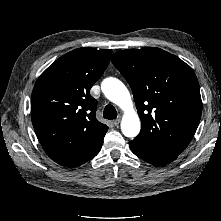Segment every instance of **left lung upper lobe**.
Wrapping results in <instances>:
<instances>
[{
	"instance_id": "1",
	"label": "left lung upper lobe",
	"mask_w": 221,
	"mask_h": 221,
	"mask_svg": "<svg viewBox=\"0 0 221 221\" xmlns=\"http://www.w3.org/2000/svg\"><path fill=\"white\" fill-rule=\"evenodd\" d=\"M129 83L141 119L132 144L180 154L192 140L202 114L197 77L191 67L162 49L119 51L111 58Z\"/></svg>"
}]
</instances>
